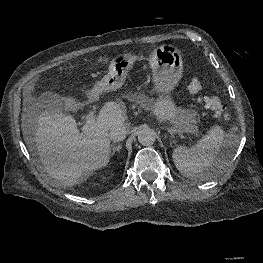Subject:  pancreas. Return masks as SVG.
<instances>
[{
    "mask_svg": "<svg viewBox=\"0 0 263 263\" xmlns=\"http://www.w3.org/2000/svg\"><path fill=\"white\" fill-rule=\"evenodd\" d=\"M125 97L132 102H136L137 104H140L141 106H145L149 108H152L153 106L152 101L143 94H138V93L127 94Z\"/></svg>",
    "mask_w": 263,
    "mask_h": 263,
    "instance_id": "1",
    "label": "pancreas"
}]
</instances>
